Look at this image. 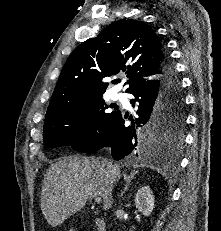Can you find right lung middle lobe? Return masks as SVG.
Returning a JSON list of instances; mask_svg holds the SVG:
<instances>
[{
    "label": "right lung middle lobe",
    "mask_w": 221,
    "mask_h": 231,
    "mask_svg": "<svg viewBox=\"0 0 221 231\" xmlns=\"http://www.w3.org/2000/svg\"><path fill=\"white\" fill-rule=\"evenodd\" d=\"M112 107V105H111ZM102 96L73 99L45 118L43 142L48 148H77L101 133L118 113L106 112ZM185 123L183 103L162 96L145 128L149 136L168 143L181 142Z\"/></svg>",
    "instance_id": "obj_1"
}]
</instances>
